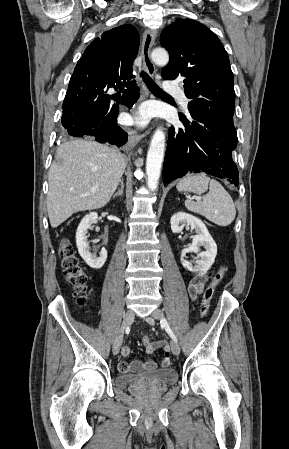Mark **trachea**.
I'll return each mask as SVG.
<instances>
[{
    "mask_svg": "<svg viewBox=\"0 0 289 449\" xmlns=\"http://www.w3.org/2000/svg\"><path fill=\"white\" fill-rule=\"evenodd\" d=\"M141 77L151 92L166 94L146 72L142 71Z\"/></svg>",
    "mask_w": 289,
    "mask_h": 449,
    "instance_id": "trachea-1",
    "label": "trachea"
}]
</instances>
